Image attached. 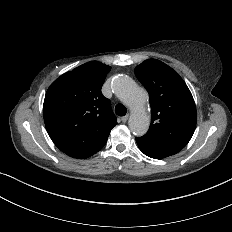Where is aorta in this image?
Returning a JSON list of instances; mask_svg holds the SVG:
<instances>
[{
  "label": "aorta",
  "mask_w": 232,
  "mask_h": 232,
  "mask_svg": "<svg viewBox=\"0 0 232 232\" xmlns=\"http://www.w3.org/2000/svg\"><path fill=\"white\" fill-rule=\"evenodd\" d=\"M111 87L115 95L131 110L128 121L130 130L135 136H143L150 125V117L145 109L147 92L129 76L114 78Z\"/></svg>",
  "instance_id": "1"
}]
</instances>
